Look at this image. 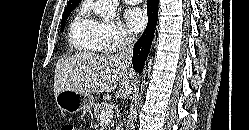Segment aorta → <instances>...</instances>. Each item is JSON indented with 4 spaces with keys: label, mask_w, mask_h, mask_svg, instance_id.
Wrapping results in <instances>:
<instances>
[{
    "label": "aorta",
    "mask_w": 249,
    "mask_h": 130,
    "mask_svg": "<svg viewBox=\"0 0 249 130\" xmlns=\"http://www.w3.org/2000/svg\"><path fill=\"white\" fill-rule=\"evenodd\" d=\"M118 0H96L93 6L95 14L104 21L115 18Z\"/></svg>",
    "instance_id": "obj_1"
}]
</instances>
